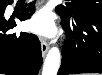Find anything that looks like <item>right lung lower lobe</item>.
Instances as JSON below:
<instances>
[{
	"label": "right lung lower lobe",
	"mask_w": 102,
	"mask_h": 75,
	"mask_svg": "<svg viewBox=\"0 0 102 75\" xmlns=\"http://www.w3.org/2000/svg\"><path fill=\"white\" fill-rule=\"evenodd\" d=\"M13 0L0 1V74L37 75L42 64L41 45L37 36L28 33L5 34L16 26L3 18L6 6ZM35 12L34 3L25 5L18 19H29Z\"/></svg>",
	"instance_id": "obj_1"
}]
</instances>
